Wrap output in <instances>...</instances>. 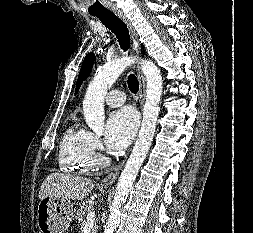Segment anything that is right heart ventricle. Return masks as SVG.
<instances>
[{
    "instance_id": "1",
    "label": "right heart ventricle",
    "mask_w": 253,
    "mask_h": 233,
    "mask_svg": "<svg viewBox=\"0 0 253 233\" xmlns=\"http://www.w3.org/2000/svg\"><path fill=\"white\" fill-rule=\"evenodd\" d=\"M58 164L62 171L68 173L90 170L94 165L91 133L76 125L69 127L59 145Z\"/></svg>"
}]
</instances>
